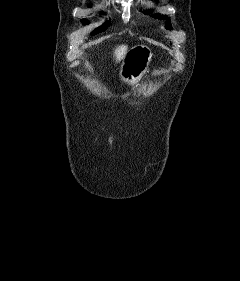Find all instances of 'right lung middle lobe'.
<instances>
[{"label": "right lung middle lobe", "instance_id": "1", "mask_svg": "<svg viewBox=\"0 0 240 281\" xmlns=\"http://www.w3.org/2000/svg\"><path fill=\"white\" fill-rule=\"evenodd\" d=\"M82 22H83V23H88L87 20H83ZM108 25H109V23L106 22L103 26H101V27L97 28L96 30H94L93 33H92V35H95V34H97V33H99V32L104 31V30L107 28Z\"/></svg>", "mask_w": 240, "mask_h": 281}]
</instances>
